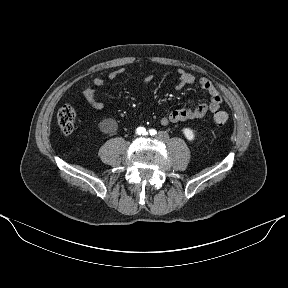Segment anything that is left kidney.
Returning <instances> with one entry per match:
<instances>
[{
	"mask_svg": "<svg viewBox=\"0 0 288 288\" xmlns=\"http://www.w3.org/2000/svg\"><path fill=\"white\" fill-rule=\"evenodd\" d=\"M184 136L189 140L193 141L195 139V132L191 128H183Z\"/></svg>",
	"mask_w": 288,
	"mask_h": 288,
	"instance_id": "left-kidney-1",
	"label": "left kidney"
}]
</instances>
